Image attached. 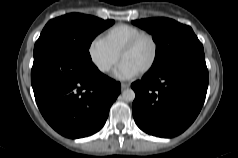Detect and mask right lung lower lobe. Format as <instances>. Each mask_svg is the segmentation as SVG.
<instances>
[{"mask_svg": "<svg viewBox=\"0 0 238 158\" xmlns=\"http://www.w3.org/2000/svg\"><path fill=\"white\" fill-rule=\"evenodd\" d=\"M31 84L38 108L48 124L68 138L99 131L121 92L119 82L57 47L34 55Z\"/></svg>", "mask_w": 238, "mask_h": 158, "instance_id": "right-lung-lower-lobe-1", "label": "right lung lower lobe"}]
</instances>
